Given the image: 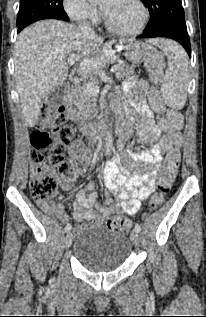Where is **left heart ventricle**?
<instances>
[{
	"label": "left heart ventricle",
	"instance_id": "b2bd125f",
	"mask_svg": "<svg viewBox=\"0 0 206 317\" xmlns=\"http://www.w3.org/2000/svg\"><path fill=\"white\" fill-rule=\"evenodd\" d=\"M108 20L117 28L135 29L141 22L142 12L133 0H102Z\"/></svg>",
	"mask_w": 206,
	"mask_h": 317
}]
</instances>
